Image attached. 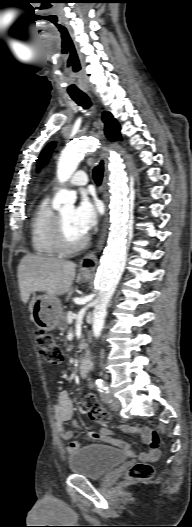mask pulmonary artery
I'll return each instance as SVG.
<instances>
[{
  "label": "pulmonary artery",
  "instance_id": "obj_1",
  "mask_svg": "<svg viewBox=\"0 0 192 527\" xmlns=\"http://www.w3.org/2000/svg\"><path fill=\"white\" fill-rule=\"evenodd\" d=\"M88 183V175L85 171H77L76 173H74L70 179L67 181L66 185H69V186H83V185H86ZM61 185L60 184H57L53 187V190H56L58 188H60Z\"/></svg>",
  "mask_w": 192,
  "mask_h": 527
}]
</instances>
